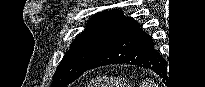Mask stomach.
Segmentation results:
<instances>
[{"mask_svg": "<svg viewBox=\"0 0 205 87\" xmlns=\"http://www.w3.org/2000/svg\"><path fill=\"white\" fill-rule=\"evenodd\" d=\"M91 87H130L128 80L121 77L97 78L91 83Z\"/></svg>", "mask_w": 205, "mask_h": 87, "instance_id": "1", "label": "stomach"}]
</instances>
